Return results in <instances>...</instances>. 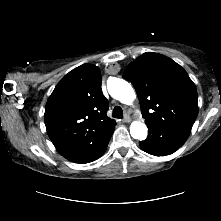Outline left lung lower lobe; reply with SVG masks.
<instances>
[{
  "label": "left lung lower lobe",
  "mask_w": 221,
  "mask_h": 221,
  "mask_svg": "<svg viewBox=\"0 0 221 221\" xmlns=\"http://www.w3.org/2000/svg\"><path fill=\"white\" fill-rule=\"evenodd\" d=\"M148 137L140 141L141 148L155 156H165L174 153L187 140L191 129L163 127L147 123Z\"/></svg>",
  "instance_id": "1"
}]
</instances>
